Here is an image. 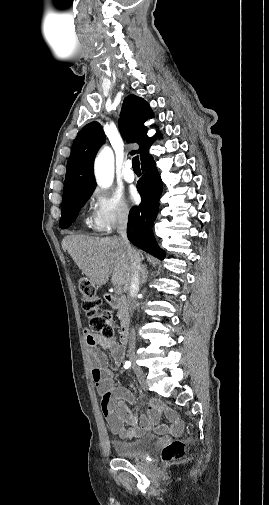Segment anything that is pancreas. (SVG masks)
Segmentation results:
<instances>
[{"mask_svg":"<svg viewBox=\"0 0 269 505\" xmlns=\"http://www.w3.org/2000/svg\"><path fill=\"white\" fill-rule=\"evenodd\" d=\"M117 317H118V319H119V320H121V319H122V317H123L122 312L118 311V313H117Z\"/></svg>","mask_w":269,"mask_h":505,"instance_id":"obj_1","label":"pancreas"}]
</instances>
